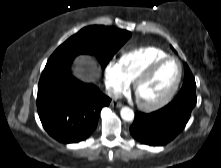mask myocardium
Returning <instances> with one entry per match:
<instances>
[{"mask_svg": "<svg viewBox=\"0 0 221 168\" xmlns=\"http://www.w3.org/2000/svg\"><path fill=\"white\" fill-rule=\"evenodd\" d=\"M168 61H175L178 64V76L174 83V85L171 87V89L159 100L151 103H145L137 99V103L139 107L146 111H153L157 110L163 106H165L170 100L174 97L176 94L183 76V66L181 61L173 56H166L164 58H161L159 60H156L155 62L151 63L147 68H145L134 80L132 83V89L136 96V92L138 87L145 82L147 79H149L152 74L164 63Z\"/></svg>", "mask_w": 221, "mask_h": 168, "instance_id": "obj_1", "label": "myocardium"}]
</instances>
